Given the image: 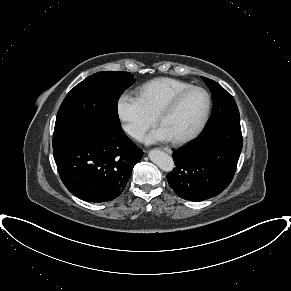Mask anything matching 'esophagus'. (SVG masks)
Returning a JSON list of instances; mask_svg holds the SVG:
<instances>
[{
	"instance_id": "34e87169",
	"label": "esophagus",
	"mask_w": 291,
	"mask_h": 291,
	"mask_svg": "<svg viewBox=\"0 0 291 291\" xmlns=\"http://www.w3.org/2000/svg\"><path fill=\"white\" fill-rule=\"evenodd\" d=\"M161 150H163V151H165L167 153H171L172 152L171 149L166 148V147H162Z\"/></svg>"
}]
</instances>
